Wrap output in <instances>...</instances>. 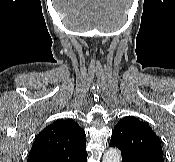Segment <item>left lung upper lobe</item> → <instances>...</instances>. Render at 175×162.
Masks as SVG:
<instances>
[{
  "instance_id": "obj_1",
  "label": "left lung upper lobe",
  "mask_w": 175,
  "mask_h": 162,
  "mask_svg": "<svg viewBox=\"0 0 175 162\" xmlns=\"http://www.w3.org/2000/svg\"><path fill=\"white\" fill-rule=\"evenodd\" d=\"M109 146L119 148L122 157L128 159L145 154L163 156L157 135L148 124L139 121L134 116H127L117 123Z\"/></svg>"
}]
</instances>
